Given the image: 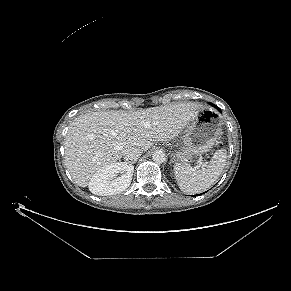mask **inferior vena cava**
I'll use <instances>...</instances> for the list:
<instances>
[{
	"instance_id": "inferior-vena-cava-1",
	"label": "inferior vena cava",
	"mask_w": 291,
	"mask_h": 291,
	"mask_svg": "<svg viewBox=\"0 0 291 291\" xmlns=\"http://www.w3.org/2000/svg\"><path fill=\"white\" fill-rule=\"evenodd\" d=\"M141 149L135 146H128L123 150V157L128 162L136 161L141 156Z\"/></svg>"
}]
</instances>
